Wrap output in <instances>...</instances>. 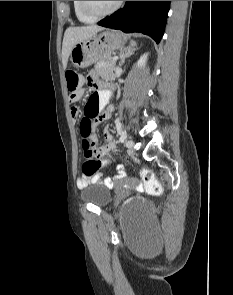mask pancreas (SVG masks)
I'll list each match as a JSON object with an SVG mask.
<instances>
[{
	"mask_svg": "<svg viewBox=\"0 0 233 295\" xmlns=\"http://www.w3.org/2000/svg\"><path fill=\"white\" fill-rule=\"evenodd\" d=\"M95 70L102 77H109L111 79H115L117 77V74L115 73V61L111 59L98 61L95 64Z\"/></svg>",
	"mask_w": 233,
	"mask_h": 295,
	"instance_id": "pancreas-1",
	"label": "pancreas"
}]
</instances>
